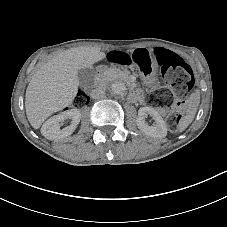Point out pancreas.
<instances>
[{"instance_id": "obj_1", "label": "pancreas", "mask_w": 227, "mask_h": 227, "mask_svg": "<svg viewBox=\"0 0 227 227\" xmlns=\"http://www.w3.org/2000/svg\"><path fill=\"white\" fill-rule=\"evenodd\" d=\"M129 73L130 72L127 70L122 71L117 68H111L102 73L103 78H101V80H105V81H110L115 79L127 80Z\"/></svg>"}]
</instances>
